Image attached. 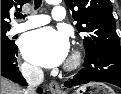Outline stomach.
<instances>
[{"label":"stomach","instance_id":"1","mask_svg":"<svg viewBox=\"0 0 121 94\" xmlns=\"http://www.w3.org/2000/svg\"><path fill=\"white\" fill-rule=\"evenodd\" d=\"M73 94H115V92L106 84L95 82L81 86Z\"/></svg>","mask_w":121,"mask_h":94}]
</instances>
